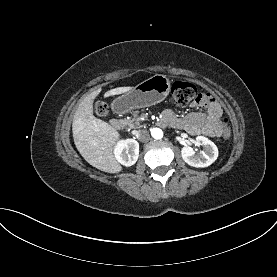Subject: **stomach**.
Instances as JSON below:
<instances>
[{"label":"stomach","mask_w":277,"mask_h":277,"mask_svg":"<svg viewBox=\"0 0 277 277\" xmlns=\"http://www.w3.org/2000/svg\"><path fill=\"white\" fill-rule=\"evenodd\" d=\"M169 92L170 80L165 75L156 74L117 97L112 103V109L117 113H126L132 109L149 107L164 100Z\"/></svg>","instance_id":"1"}]
</instances>
